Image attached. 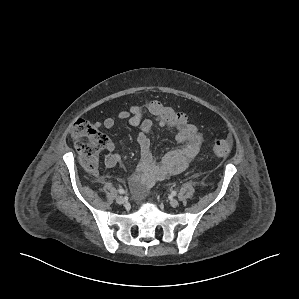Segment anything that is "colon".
I'll use <instances>...</instances> for the list:
<instances>
[{
  "label": "colon",
  "instance_id": "5ec220e1",
  "mask_svg": "<svg viewBox=\"0 0 299 299\" xmlns=\"http://www.w3.org/2000/svg\"><path fill=\"white\" fill-rule=\"evenodd\" d=\"M145 105L151 115L167 123L182 125L189 122L185 113L160 100L150 99L145 102ZM71 134L83 165L90 171H95L99 154L107 146V138L84 119H77L74 122ZM231 149V142L228 139H217L213 144L212 153L216 157L224 158L230 154Z\"/></svg>",
  "mask_w": 299,
  "mask_h": 299
}]
</instances>
